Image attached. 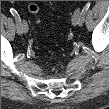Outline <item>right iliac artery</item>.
Here are the masks:
<instances>
[{"label":"right iliac artery","mask_w":109,"mask_h":109,"mask_svg":"<svg viewBox=\"0 0 109 109\" xmlns=\"http://www.w3.org/2000/svg\"><path fill=\"white\" fill-rule=\"evenodd\" d=\"M10 12L15 18L16 25H17V33L22 34L23 28H22V25H21V18L19 16L18 12L14 8H10Z\"/></svg>","instance_id":"1"}]
</instances>
